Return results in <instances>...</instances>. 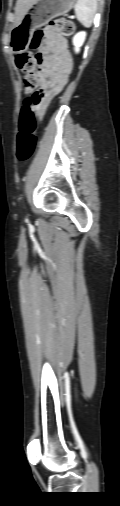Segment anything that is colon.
Returning a JSON list of instances; mask_svg holds the SVG:
<instances>
[{
    "instance_id": "colon-1",
    "label": "colon",
    "mask_w": 120,
    "mask_h": 506,
    "mask_svg": "<svg viewBox=\"0 0 120 506\" xmlns=\"http://www.w3.org/2000/svg\"><path fill=\"white\" fill-rule=\"evenodd\" d=\"M49 28L65 36L74 32V24L71 20L63 17L53 18L45 29H38L34 32L30 45L32 50L41 47L45 31ZM15 62L16 66L24 73L23 85L26 93L19 120L16 157L19 161H27L32 157L37 146L35 111L39 108L42 100L40 92L37 91L40 80L36 71L38 59L33 52H23L16 56Z\"/></svg>"
}]
</instances>
